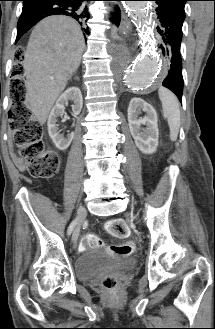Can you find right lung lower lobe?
I'll use <instances>...</instances> for the list:
<instances>
[{
  "label": "right lung lower lobe",
  "instance_id": "right-lung-lower-lobe-1",
  "mask_svg": "<svg viewBox=\"0 0 215 329\" xmlns=\"http://www.w3.org/2000/svg\"><path fill=\"white\" fill-rule=\"evenodd\" d=\"M23 9L17 25L16 42L37 22L50 15L71 16L82 26L84 35H89L87 20L90 18L85 1L91 0H22ZM113 1V0H109ZM112 21L120 22V9L116 7Z\"/></svg>",
  "mask_w": 215,
  "mask_h": 329
}]
</instances>
